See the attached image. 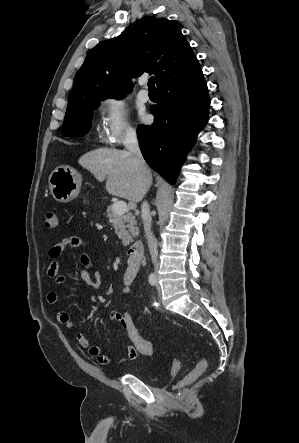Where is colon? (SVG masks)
I'll return each mask as SVG.
<instances>
[{"instance_id": "colon-1", "label": "colon", "mask_w": 299, "mask_h": 443, "mask_svg": "<svg viewBox=\"0 0 299 443\" xmlns=\"http://www.w3.org/2000/svg\"><path fill=\"white\" fill-rule=\"evenodd\" d=\"M45 227L48 229L56 228L59 224L57 214L54 211H47L45 213ZM120 320L122 328L125 332L127 339L137 349L140 354L149 356L154 353V345L145 340L138 332L134 318L131 312L127 309L121 311ZM180 368V363L177 359L173 360L171 371L177 373ZM206 368L205 360L201 359L197 362L195 368L178 384V387H183L197 377H199Z\"/></svg>"}]
</instances>
